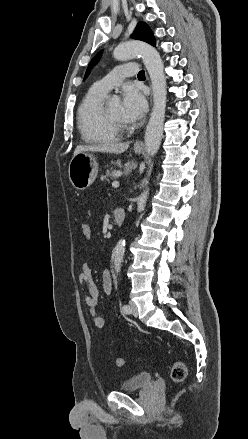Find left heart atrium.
I'll return each instance as SVG.
<instances>
[{
	"label": "left heart atrium",
	"mask_w": 248,
	"mask_h": 439,
	"mask_svg": "<svg viewBox=\"0 0 248 439\" xmlns=\"http://www.w3.org/2000/svg\"><path fill=\"white\" fill-rule=\"evenodd\" d=\"M122 111L129 122H135L143 117L147 102L143 93L136 87H127L122 96Z\"/></svg>",
	"instance_id": "1"
}]
</instances>
